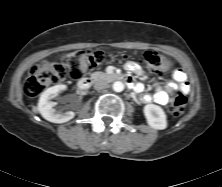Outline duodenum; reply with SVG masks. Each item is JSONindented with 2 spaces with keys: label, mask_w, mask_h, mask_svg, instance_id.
<instances>
[{
  "label": "duodenum",
  "mask_w": 222,
  "mask_h": 187,
  "mask_svg": "<svg viewBox=\"0 0 222 187\" xmlns=\"http://www.w3.org/2000/svg\"><path fill=\"white\" fill-rule=\"evenodd\" d=\"M109 78H112L114 80L122 81L128 85H133V78L129 75H123V74H117V73H110L108 75ZM91 84V80L89 79H83L79 82L78 88L80 91H86L89 89Z\"/></svg>",
  "instance_id": "410a0bca"
}]
</instances>
